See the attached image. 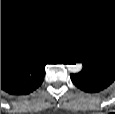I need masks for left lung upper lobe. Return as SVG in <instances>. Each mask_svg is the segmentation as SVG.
<instances>
[{
    "label": "left lung upper lobe",
    "instance_id": "left-lung-upper-lobe-1",
    "mask_svg": "<svg viewBox=\"0 0 115 114\" xmlns=\"http://www.w3.org/2000/svg\"><path fill=\"white\" fill-rule=\"evenodd\" d=\"M83 64L102 67L115 73V33L104 36L82 59Z\"/></svg>",
    "mask_w": 115,
    "mask_h": 114
}]
</instances>
